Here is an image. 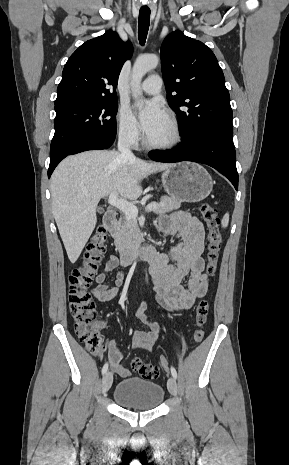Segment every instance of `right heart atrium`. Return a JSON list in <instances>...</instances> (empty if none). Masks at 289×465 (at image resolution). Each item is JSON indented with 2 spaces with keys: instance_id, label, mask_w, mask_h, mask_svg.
Instances as JSON below:
<instances>
[{
  "instance_id": "obj_1",
  "label": "right heart atrium",
  "mask_w": 289,
  "mask_h": 465,
  "mask_svg": "<svg viewBox=\"0 0 289 465\" xmlns=\"http://www.w3.org/2000/svg\"><path fill=\"white\" fill-rule=\"evenodd\" d=\"M118 137L126 144L134 145L140 138L138 122L127 106H121L116 115Z\"/></svg>"
}]
</instances>
